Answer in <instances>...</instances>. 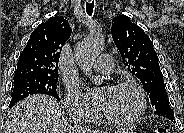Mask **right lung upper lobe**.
Segmentation results:
<instances>
[{
  "mask_svg": "<svg viewBox=\"0 0 184 133\" xmlns=\"http://www.w3.org/2000/svg\"><path fill=\"white\" fill-rule=\"evenodd\" d=\"M71 33L63 16L51 17L39 25L20 54L14 78L58 76L60 51Z\"/></svg>",
  "mask_w": 184,
  "mask_h": 133,
  "instance_id": "1",
  "label": "right lung upper lobe"
}]
</instances>
